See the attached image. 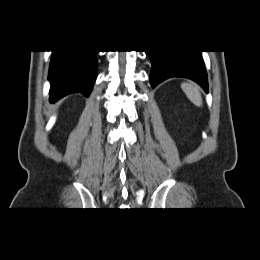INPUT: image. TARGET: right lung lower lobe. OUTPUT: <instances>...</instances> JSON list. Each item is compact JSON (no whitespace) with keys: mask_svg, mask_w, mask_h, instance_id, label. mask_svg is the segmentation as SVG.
Returning a JSON list of instances; mask_svg holds the SVG:
<instances>
[{"mask_svg":"<svg viewBox=\"0 0 260 260\" xmlns=\"http://www.w3.org/2000/svg\"><path fill=\"white\" fill-rule=\"evenodd\" d=\"M97 51H53L49 68L50 101L70 93L88 97L97 77Z\"/></svg>","mask_w":260,"mask_h":260,"instance_id":"right-lung-lower-lobe-1","label":"right lung lower lobe"}]
</instances>
